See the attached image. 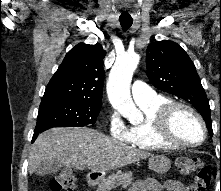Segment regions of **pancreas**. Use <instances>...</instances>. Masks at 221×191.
Wrapping results in <instances>:
<instances>
[{
	"label": "pancreas",
	"instance_id": "obj_1",
	"mask_svg": "<svg viewBox=\"0 0 221 191\" xmlns=\"http://www.w3.org/2000/svg\"><path fill=\"white\" fill-rule=\"evenodd\" d=\"M133 175L131 172H117L108 176L105 180L98 184L96 191H110L117 185H121L123 188H127L132 184Z\"/></svg>",
	"mask_w": 221,
	"mask_h": 191
}]
</instances>
